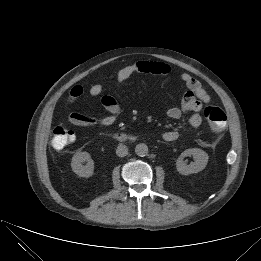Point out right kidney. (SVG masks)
<instances>
[{
    "instance_id": "right-kidney-1",
    "label": "right kidney",
    "mask_w": 261,
    "mask_h": 261,
    "mask_svg": "<svg viewBox=\"0 0 261 261\" xmlns=\"http://www.w3.org/2000/svg\"><path fill=\"white\" fill-rule=\"evenodd\" d=\"M86 165H82L83 162ZM72 171L80 177H90L94 172V162L88 152H77L72 157L71 161Z\"/></svg>"
}]
</instances>
